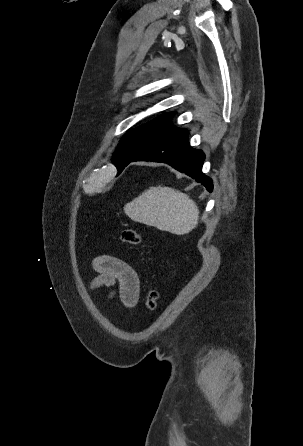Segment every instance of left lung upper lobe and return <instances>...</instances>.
<instances>
[{"label": "left lung upper lobe", "instance_id": "1", "mask_svg": "<svg viewBox=\"0 0 303 446\" xmlns=\"http://www.w3.org/2000/svg\"><path fill=\"white\" fill-rule=\"evenodd\" d=\"M173 115L174 113L162 114L127 132L122 137L118 151L114 153L112 159L117 169L128 158L136 156L150 145L177 132L180 128L171 123Z\"/></svg>", "mask_w": 303, "mask_h": 446}]
</instances>
